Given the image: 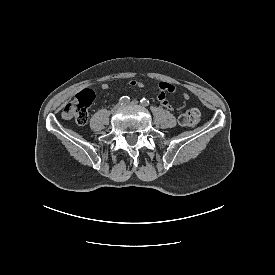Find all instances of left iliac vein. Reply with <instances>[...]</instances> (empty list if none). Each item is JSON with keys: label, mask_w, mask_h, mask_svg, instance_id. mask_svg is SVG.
Wrapping results in <instances>:
<instances>
[{"label": "left iliac vein", "mask_w": 275, "mask_h": 275, "mask_svg": "<svg viewBox=\"0 0 275 275\" xmlns=\"http://www.w3.org/2000/svg\"><path fill=\"white\" fill-rule=\"evenodd\" d=\"M137 104H138L137 101H132V102H129V103L125 104V105L132 106V105H137Z\"/></svg>", "instance_id": "obj_1"}]
</instances>
